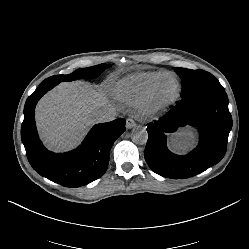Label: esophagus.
<instances>
[{"instance_id": "esophagus-1", "label": "esophagus", "mask_w": 249, "mask_h": 249, "mask_svg": "<svg viewBox=\"0 0 249 249\" xmlns=\"http://www.w3.org/2000/svg\"><path fill=\"white\" fill-rule=\"evenodd\" d=\"M135 126H136V123H135L134 119H132L131 117H128L126 119V127L128 129H131V128H134Z\"/></svg>"}]
</instances>
